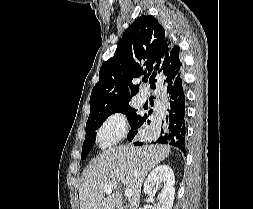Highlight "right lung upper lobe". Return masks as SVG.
Listing matches in <instances>:
<instances>
[{
    "mask_svg": "<svg viewBox=\"0 0 253 209\" xmlns=\"http://www.w3.org/2000/svg\"><path fill=\"white\" fill-rule=\"evenodd\" d=\"M181 68L180 48L169 40L160 23L150 15L137 18L125 31L114 56L100 68L89 117L130 106V98L139 90L132 84L134 78L144 75L155 88L157 73L166 78Z\"/></svg>",
    "mask_w": 253,
    "mask_h": 209,
    "instance_id": "obj_1",
    "label": "right lung upper lobe"
}]
</instances>
